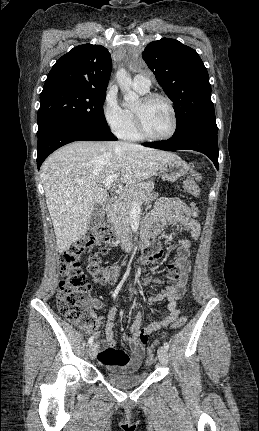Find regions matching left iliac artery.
<instances>
[{"label": "left iliac artery", "instance_id": "obj_1", "mask_svg": "<svg viewBox=\"0 0 259 431\" xmlns=\"http://www.w3.org/2000/svg\"><path fill=\"white\" fill-rule=\"evenodd\" d=\"M164 348H165L166 350H168V349H169V344H168L167 342H164Z\"/></svg>", "mask_w": 259, "mask_h": 431}]
</instances>
